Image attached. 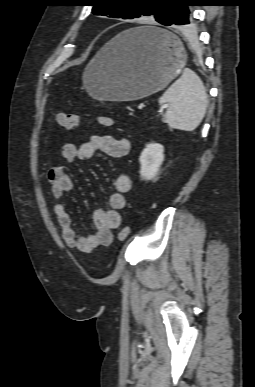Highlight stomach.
Returning <instances> with one entry per match:
<instances>
[{"instance_id":"obj_1","label":"stomach","mask_w":255,"mask_h":387,"mask_svg":"<svg viewBox=\"0 0 255 387\" xmlns=\"http://www.w3.org/2000/svg\"><path fill=\"white\" fill-rule=\"evenodd\" d=\"M156 31L159 40L140 34ZM179 39L156 26L123 31L109 41L85 68L84 87L99 100L131 101L165 88L185 65Z\"/></svg>"}]
</instances>
